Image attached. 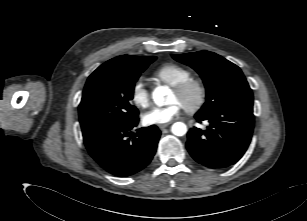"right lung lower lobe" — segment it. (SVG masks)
<instances>
[{"label": "right lung lower lobe", "instance_id": "right-lung-lower-lobe-1", "mask_svg": "<svg viewBox=\"0 0 307 221\" xmlns=\"http://www.w3.org/2000/svg\"><path fill=\"white\" fill-rule=\"evenodd\" d=\"M139 119L104 129L84 140L92 158L107 172L117 177H128L143 170L152 160L160 138L156 126L138 129Z\"/></svg>", "mask_w": 307, "mask_h": 221}]
</instances>
